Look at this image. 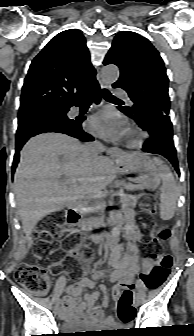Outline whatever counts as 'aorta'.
Instances as JSON below:
<instances>
[{
    "instance_id": "762f6f07",
    "label": "aorta",
    "mask_w": 194,
    "mask_h": 336,
    "mask_svg": "<svg viewBox=\"0 0 194 336\" xmlns=\"http://www.w3.org/2000/svg\"><path fill=\"white\" fill-rule=\"evenodd\" d=\"M101 77L107 83L115 82L119 77V70L115 65H107L101 70Z\"/></svg>"
}]
</instances>
